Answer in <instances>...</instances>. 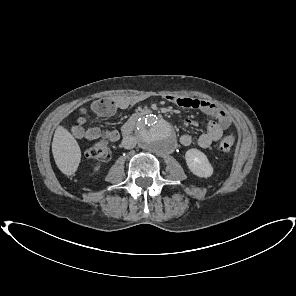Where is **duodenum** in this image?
<instances>
[{"label": "duodenum", "mask_w": 296, "mask_h": 296, "mask_svg": "<svg viewBox=\"0 0 296 296\" xmlns=\"http://www.w3.org/2000/svg\"><path fill=\"white\" fill-rule=\"evenodd\" d=\"M150 113L151 111L148 109H142L134 113L122 126V129H121L122 135L128 136L129 134H131L133 129L135 128V125L138 119Z\"/></svg>", "instance_id": "1"}]
</instances>
